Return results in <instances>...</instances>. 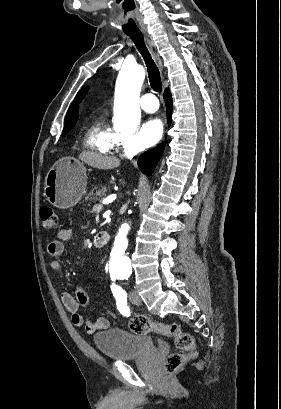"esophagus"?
I'll use <instances>...</instances> for the list:
<instances>
[{"instance_id":"34e87169","label":"esophagus","mask_w":281,"mask_h":409,"mask_svg":"<svg viewBox=\"0 0 281 409\" xmlns=\"http://www.w3.org/2000/svg\"><path fill=\"white\" fill-rule=\"evenodd\" d=\"M143 34H144V36L146 38L147 44L150 47V50H151V53H152L153 57L155 58L158 65L161 67L162 66L161 59H160V56L158 54V51H157V48H156V45H155V43L153 41L152 36L147 31H143Z\"/></svg>"}]
</instances>
